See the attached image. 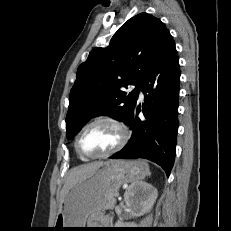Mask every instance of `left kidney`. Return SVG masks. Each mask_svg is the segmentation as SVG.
Masks as SVG:
<instances>
[{"label":"left kidney","mask_w":231,"mask_h":231,"mask_svg":"<svg viewBox=\"0 0 231 231\" xmlns=\"http://www.w3.org/2000/svg\"><path fill=\"white\" fill-rule=\"evenodd\" d=\"M158 196L157 189L146 182L134 183L124 194V201L129 212L141 216L153 207Z\"/></svg>","instance_id":"5707ae66"}]
</instances>
